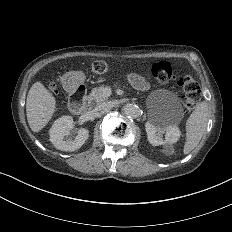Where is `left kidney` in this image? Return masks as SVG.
I'll return each mask as SVG.
<instances>
[{
    "instance_id": "left-kidney-1",
    "label": "left kidney",
    "mask_w": 232,
    "mask_h": 232,
    "mask_svg": "<svg viewBox=\"0 0 232 232\" xmlns=\"http://www.w3.org/2000/svg\"><path fill=\"white\" fill-rule=\"evenodd\" d=\"M145 128L148 141L154 146L176 143L181 135L177 126L167 125L164 122L148 121ZM163 134L165 139L162 138Z\"/></svg>"
}]
</instances>
